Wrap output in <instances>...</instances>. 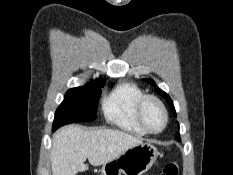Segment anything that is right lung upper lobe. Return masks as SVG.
Instances as JSON below:
<instances>
[{"label":"right lung upper lobe","instance_id":"1","mask_svg":"<svg viewBox=\"0 0 233 175\" xmlns=\"http://www.w3.org/2000/svg\"><path fill=\"white\" fill-rule=\"evenodd\" d=\"M96 81H104V80H102V79H97Z\"/></svg>","mask_w":233,"mask_h":175}]
</instances>
